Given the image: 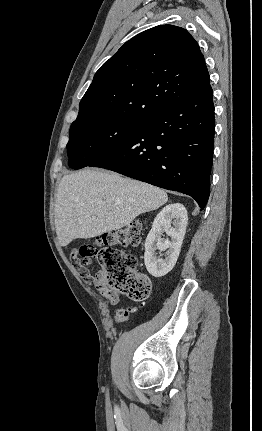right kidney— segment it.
<instances>
[{
    "label": "right kidney",
    "mask_w": 262,
    "mask_h": 431,
    "mask_svg": "<svg viewBox=\"0 0 262 431\" xmlns=\"http://www.w3.org/2000/svg\"><path fill=\"white\" fill-rule=\"evenodd\" d=\"M187 221V210L180 203L169 204L157 214L146 238L144 254L146 269L152 276L162 277L175 266L186 232ZM164 232L171 237V241L162 238ZM156 250H166L164 260L157 258Z\"/></svg>",
    "instance_id": "right-kidney-1"
}]
</instances>
